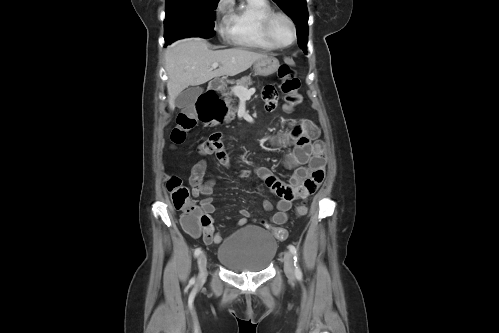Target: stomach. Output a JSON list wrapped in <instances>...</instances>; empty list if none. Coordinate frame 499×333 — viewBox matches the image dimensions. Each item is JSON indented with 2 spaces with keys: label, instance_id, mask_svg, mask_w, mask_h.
Wrapping results in <instances>:
<instances>
[{
  "label": "stomach",
  "instance_id": "obj_1",
  "mask_svg": "<svg viewBox=\"0 0 499 333\" xmlns=\"http://www.w3.org/2000/svg\"><path fill=\"white\" fill-rule=\"evenodd\" d=\"M279 68V61L274 57L260 59L254 63L256 75L269 76L275 73Z\"/></svg>",
  "mask_w": 499,
  "mask_h": 333
}]
</instances>
